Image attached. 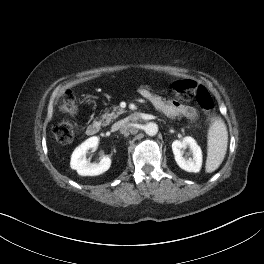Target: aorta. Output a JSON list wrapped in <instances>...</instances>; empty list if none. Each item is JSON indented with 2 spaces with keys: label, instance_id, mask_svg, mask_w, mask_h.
Here are the masks:
<instances>
[{
  "label": "aorta",
  "instance_id": "obj_1",
  "mask_svg": "<svg viewBox=\"0 0 264 264\" xmlns=\"http://www.w3.org/2000/svg\"><path fill=\"white\" fill-rule=\"evenodd\" d=\"M145 133L149 136H154L158 133V126L156 123L150 122L145 125Z\"/></svg>",
  "mask_w": 264,
  "mask_h": 264
}]
</instances>
